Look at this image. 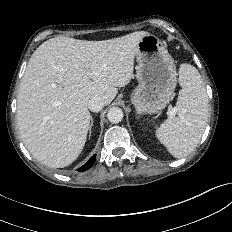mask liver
Segmentation results:
<instances>
[{"label": "liver", "mask_w": 232, "mask_h": 232, "mask_svg": "<svg viewBox=\"0 0 232 232\" xmlns=\"http://www.w3.org/2000/svg\"><path fill=\"white\" fill-rule=\"evenodd\" d=\"M137 31L122 37L86 41L55 37L32 54L17 98L20 137L40 163L63 168L85 146L90 127L88 101L108 105L133 75L141 39Z\"/></svg>", "instance_id": "obj_1"}]
</instances>
